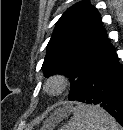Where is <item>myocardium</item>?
I'll return each mask as SVG.
<instances>
[{"label": "myocardium", "mask_w": 123, "mask_h": 130, "mask_svg": "<svg viewBox=\"0 0 123 130\" xmlns=\"http://www.w3.org/2000/svg\"><path fill=\"white\" fill-rule=\"evenodd\" d=\"M69 85L67 77L61 74H56L47 79L45 90L48 94L57 96L62 94Z\"/></svg>", "instance_id": "obj_1"}]
</instances>
